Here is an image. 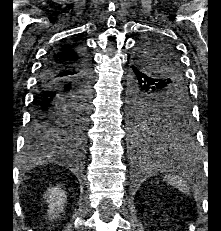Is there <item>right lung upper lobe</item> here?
Returning <instances> with one entry per match:
<instances>
[{
    "instance_id": "cb5924a9",
    "label": "right lung upper lobe",
    "mask_w": 221,
    "mask_h": 231,
    "mask_svg": "<svg viewBox=\"0 0 221 231\" xmlns=\"http://www.w3.org/2000/svg\"><path fill=\"white\" fill-rule=\"evenodd\" d=\"M80 51L81 50L75 44H65L62 47L56 49L49 57V60H52L60 66L76 64ZM76 74L77 71L75 69L65 67L61 70V73L57 75V79L68 80Z\"/></svg>"
}]
</instances>
